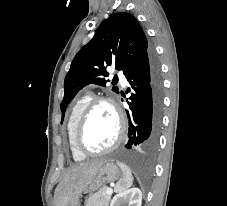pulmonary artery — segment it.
Wrapping results in <instances>:
<instances>
[{"instance_id": "pulmonary-artery-1", "label": "pulmonary artery", "mask_w": 227, "mask_h": 206, "mask_svg": "<svg viewBox=\"0 0 227 206\" xmlns=\"http://www.w3.org/2000/svg\"><path fill=\"white\" fill-rule=\"evenodd\" d=\"M118 77L120 78V80H121V82L123 84H126V80H125L124 76L121 73H118Z\"/></svg>"}]
</instances>
